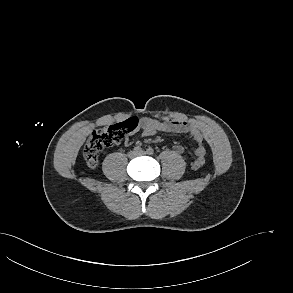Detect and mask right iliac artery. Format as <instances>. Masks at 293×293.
<instances>
[{
  "label": "right iliac artery",
  "mask_w": 293,
  "mask_h": 293,
  "mask_svg": "<svg viewBox=\"0 0 293 293\" xmlns=\"http://www.w3.org/2000/svg\"><path fill=\"white\" fill-rule=\"evenodd\" d=\"M134 151H135L136 153L141 152V151H142L141 146L138 145V146L134 147Z\"/></svg>",
  "instance_id": "1"
}]
</instances>
